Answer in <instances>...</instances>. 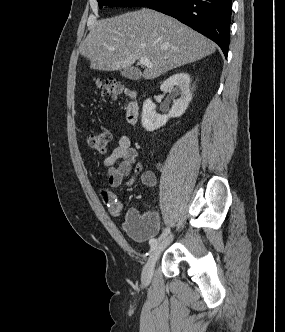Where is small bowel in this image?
Listing matches in <instances>:
<instances>
[{"mask_svg":"<svg viewBox=\"0 0 285 332\" xmlns=\"http://www.w3.org/2000/svg\"><path fill=\"white\" fill-rule=\"evenodd\" d=\"M103 165L107 169V180L111 188L121 186L124 178L129 176L131 172L132 175L125 184L127 188H131L137 178H140L141 182L147 187L154 188L157 185L155 173L146 170L143 164L138 161V152L132 147L130 137L126 134L120 136L118 145L104 159ZM101 198L112 216L118 217L122 215L124 210L123 202L116 192L104 189L101 191ZM133 214H135V211H130L127 217Z\"/></svg>","mask_w":285,"mask_h":332,"instance_id":"small-bowel-1","label":"small bowel"}]
</instances>
